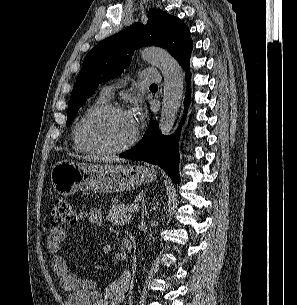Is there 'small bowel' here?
<instances>
[{"label": "small bowel", "instance_id": "1", "mask_svg": "<svg viewBox=\"0 0 297 305\" xmlns=\"http://www.w3.org/2000/svg\"><path fill=\"white\" fill-rule=\"evenodd\" d=\"M86 220L92 226L103 224V211L93 208L80 212L78 221ZM66 239L63 227H51L47 237V249L53 255L52 269L57 275L60 286L68 293L67 305H121L129 289L132 274L124 271L118 278L99 289L97 283L89 278L80 277L70 270L66 258L61 254ZM111 245L104 243L100 251L104 254L111 252Z\"/></svg>", "mask_w": 297, "mask_h": 305}]
</instances>
